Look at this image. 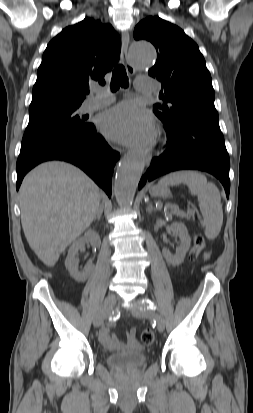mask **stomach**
Wrapping results in <instances>:
<instances>
[{"mask_svg": "<svg viewBox=\"0 0 253 413\" xmlns=\"http://www.w3.org/2000/svg\"><path fill=\"white\" fill-rule=\"evenodd\" d=\"M149 192L154 197H167L170 194V190L165 185H155L149 189Z\"/></svg>", "mask_w": 253, "mask_h": 413, "instance_id": "stomach-1", "label": "stomach"}]
</instances>
